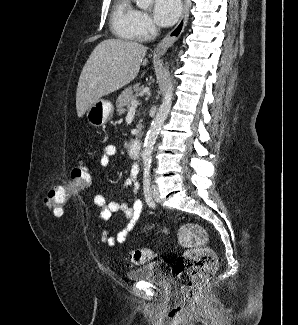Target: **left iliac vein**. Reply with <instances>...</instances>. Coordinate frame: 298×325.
Masks as SVG:
<instances>
[{
	"instance_id": "1",
	"label": "left iliac vein",
	"mask_w": 298,
	"mask_h": 325,
	"mask_svg": "<svg viewBox=\"0 0 298 325\" xmlns=\"http://www.w3.org/2000/svg\"><path fill=\"white\" fill-rule=\"evenodd\" d=\"M151 196L154 201L159 202V188L156 184L151 186Z\"/></svg>"
}]
</instances>
